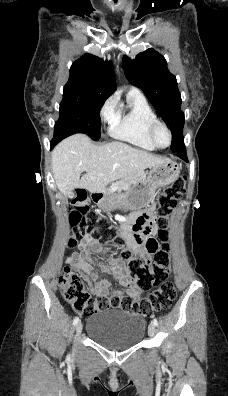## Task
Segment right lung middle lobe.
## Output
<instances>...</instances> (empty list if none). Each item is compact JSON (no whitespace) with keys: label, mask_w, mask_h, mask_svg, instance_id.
I'll use <instances>...</instances> for the list:
<instances>
[{"label":"right lung middle lobe","mask_w":228,"mask_h":396,"mask_svg":"<svg viewBox=\"0 0 228 396\" xmlns=\"http://www.w3.org/2000/svg\"><path fill=\"white\" fill-rule=\"evenodd\" d=\"M106 99L94 92L64 89L54 136L64 139L75 133H85L92 140L98 141L101 129L99 111Z\"/></svg>","instance_id":"dd1d6c3e"}]
</instances>
